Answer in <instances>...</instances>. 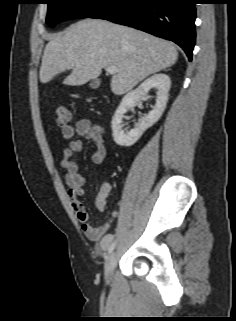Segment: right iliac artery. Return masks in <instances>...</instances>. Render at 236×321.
Listing matches in <instances>:
<instances>
[{
  "label": "right iliac artery",
  "mask_w": 236,
  "mask_h": 321,
  "mask_svg": "<svg viewBox=\"0 0 236 321\" xmlns=\"http://www.w3.org/2000/svg\"><path fill=\"white\" fill-rule=\"evenodd\" d=\"M115 248V242H112L109 246H108V253H111Z\"/></svg>",
  "instance_id": "1"
}]
</instances>
